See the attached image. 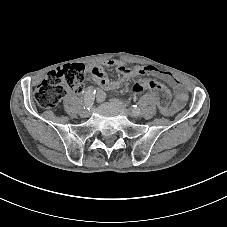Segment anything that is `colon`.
Returning a JSON list of instances; mask_svg holds the SVG:
<instances>
[{
  "label": "colon",
  "instance_id": "obj_1",
  "mask_svg": "<svg viewBox=\"0 0 227 227\" xmlns=\"http://www.w3.org/2000/svg\"><path fill=\"white\" fill-rule=\"evenodd\" d=\"M85 78V67L82 64H67L51 71L37 86L34 97L43 108L56 107L68 90L78 91L82 88ZM150 90L158 100L159 106L167 107L171 100V93L164 85L141 79L133 86L136 93Z\"/></svg>",
  "mask_w": 227,
  "mask_h": 227
}]
</instances>
